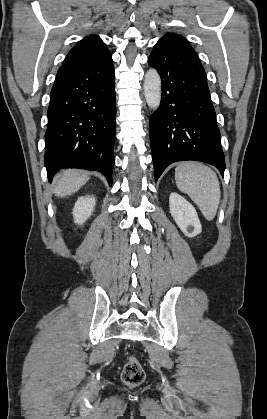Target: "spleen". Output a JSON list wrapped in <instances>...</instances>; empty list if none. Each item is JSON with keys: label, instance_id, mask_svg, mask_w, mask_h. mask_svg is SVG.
<instances>
[{"label": "spleen", "instance_id": "obj_1", "mask_svg": "<svg viewBox=\"0 0 267 419\" xmlns=\"http://www.w3.org/2000/svg\"><path fill=\"white\" fill-rule=\"evenodd\" d=\"M178 189L197 204L204 217L215 218L220 203V183L216 173L199 162H181L175 168Z\"/></svg>", "mask_w": 267, "mask_h": 419}]
</instances>
